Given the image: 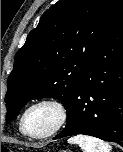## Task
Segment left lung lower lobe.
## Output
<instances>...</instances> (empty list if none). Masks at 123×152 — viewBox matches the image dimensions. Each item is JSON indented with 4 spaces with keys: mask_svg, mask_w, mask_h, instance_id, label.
I'll return each mask as SVG.
<instances>
[{
    "mask_svg": "<svg viewBox=\"0 0 123 152\" xmlns=\"http://www.w3.org/2000/svg\"><path fill=\"white\" fill-rule=\"evenodd\" d=\"M66 110L67 124L54 139L84 134L123 146V3Z\"/></svg>",
    "mask_w": 123,
    "mask_h": 152,
    "instance_id": "1",
    "label": "left lung lower lobe"
}]
</instances>
